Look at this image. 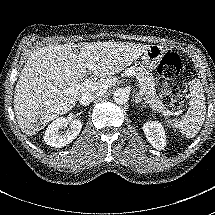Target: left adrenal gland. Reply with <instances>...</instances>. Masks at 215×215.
<instances>
[{
  "label": "left adrenal gland",
  "mask_w": 215,
  "mask_h": 215,
  "mask_svg": "<svg viewBox=\"0 0 215 215\" xmlns=\"http://www.w3.org/2000/svg\"><path fill=\"white\" fill-rule=\"evenodd\" d=\"M135 102L138 105L145 106L142 104V99H141V97H139V95H135Z\"/></svg>",
  "instance_id": "a2214340"
}]
</instances>
